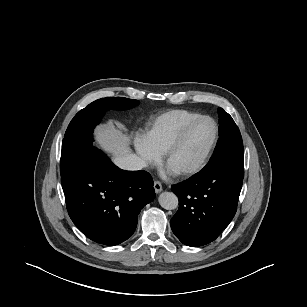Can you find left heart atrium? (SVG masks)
Instances as JSON below:
<instances>
[{
    "label": "left heart atrium",
    "mask_w": 307,
    "mask_h": 307,
    "mask_svg": "<svg viewBox=\"0 0 307 307\" xmlns=\"http://www.w3.org/2000/svg\"><path fill=\"white\" fill-rule=\"evenodd\" d=\"M167 172H168L169 174L175 173L173 170H171V169H169V168H168Z\"/></svg>",
    "instance_id": "1"
}]
</instances>
